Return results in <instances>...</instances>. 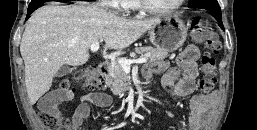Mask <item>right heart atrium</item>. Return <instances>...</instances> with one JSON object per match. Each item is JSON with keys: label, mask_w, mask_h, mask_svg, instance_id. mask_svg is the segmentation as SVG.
<instances>
[{"label": "right heart atrium", "mask_w": 257, "mask_h": 130, "mask_svg": "<svg viewBox=\"0 0 257 130\" xmlns=\"http://www.w3.org/2000/svg\"><path fill=\"white\" fill-rule=\"evenodd\" d=\"M100 4L105 7H110L114 9L122 8L123 0H99Z\"/></svg>", "instance_id": "1"}]
</instances>
